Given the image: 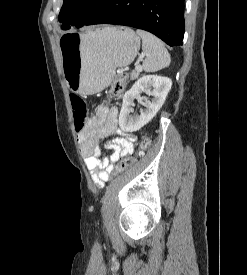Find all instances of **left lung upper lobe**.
Segmentation results:
<instances>
[{"mask_svg":"<svg viewBox=\"0 0 247 275\" xmlns=\"http://www.w3.org/2000/svg\"><path fill=\"white\" fill-rule=\"evenodd\" d=\"M107 0H64L59 14L62 29L70 28L69 24L77 28L83 26Z\"/></svg>","mask_w":247,"mask_h":275,"instance_id":"left-lung-upper-lobe-1","label":"left lung upper lobe"}]
</instances>
